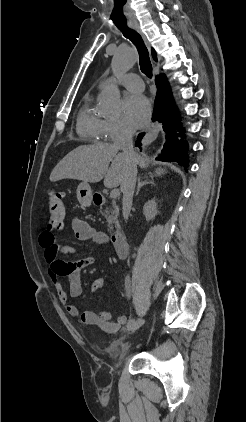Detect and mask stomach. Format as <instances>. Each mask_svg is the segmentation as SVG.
<instances>
[{"mask_svg":"<svg viewBox=\"0 0 246 422\" xmlns=\"http://www.w3.org/2000/svg\"><path fill=\"white\" fill-rule=\"evenodd\" d=\"M77 199L82 206L88 207L93 201V192L88 182H81L77 187Z\"/></svg>","mask_w":246,"mask_h":422,"instance_id":"0dacf381","label":"stomach"}]
</instances>
